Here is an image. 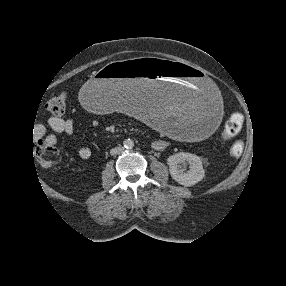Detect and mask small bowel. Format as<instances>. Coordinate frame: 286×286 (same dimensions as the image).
Here are the masks:
<instances>
[{"mask_svg": "<svg viewBox=\"0 0 286 286\" xmlns=\"http://www.w3.org/2000/svg\"><path fill=\"white\" fill-rule=\"evenodd\" d=\"M93 125L96 126L97 123L93 122ZM47 128H50L55 134L47 135L46 139L50 143L55 144L57 142L56 134H66V135L72 134L75 129V122L71 118L63 119L58 117H51L46 121V123L39 124L36 126L34 135L36 137L44 136ZM167 146L168 142L164 139L157 140L154 143V147L157 149H165ZM78 154L80 158L86 160L91 157L92 151L89 147H82L79 149ZM233 156H238V155H233Z\"/></svg>", "mask_w": 286, "mask_h": 286, "instance_id": "obj_1", "label": "small bowel"}]
</instances>
